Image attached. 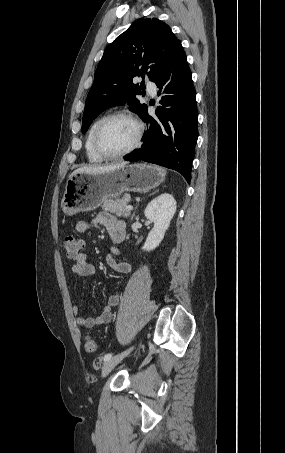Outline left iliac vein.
Returning <instances> with one entry per match:
<instances>
[{
    "mask_svg": "<svg viewBox=\"0 0 285 453\" xmlns=\"http://www.w3.org/2000/svg\"><path fill=\"white\" fill-rule=\"evenodd\" d=\"M133 349L134 347H131L107 360L102 367L101 377L105 378L119 362L130 354Z\"/></svg>",
    "mask_w": 285,
    "mask_h": 453,
    "instance_id": "4c4485c4",
    "label": "left iliac vein"
}]
</instances>
